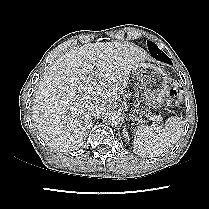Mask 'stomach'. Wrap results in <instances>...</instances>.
<instances>
[{
	"label": "stomach",
	"mask_w": 209,
	"mask_h": 209,
	"mask_svg": "<svg viewBox=\"0 0 209 209\" xmlns=\"http://www.w3.org/2000/svg\"><path fill=\"white\" fill-rule=\"evenodd\" d=\"M144 90L146 104L158 108L168 94L169 78L164 70L156 65L141 61L132 70Z\"/></svg>",
	"instance_id": "obj_1"
}]
</instances>
